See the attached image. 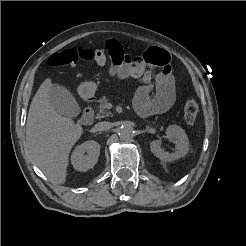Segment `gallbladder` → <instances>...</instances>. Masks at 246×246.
Wrapping results in <instances>:
<instances>
[{
  "mask_svg": "<svg viewBox=\"0 0 246 246\" xmlns=\"http://www.w3.org/2000/svg\"><path fill=\"white\" fill-rule=\"evenodd\" d=\"M50 103L54 109L65 117H77L80 114V107L74 96L63 86H53L50 89Z\"/></svg>",
  "mask_w": 246,
  "mask_h": 246,
  "instance_id": "bac80fb5",
  "label": "gallbladder"
}]
</instances>
